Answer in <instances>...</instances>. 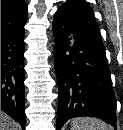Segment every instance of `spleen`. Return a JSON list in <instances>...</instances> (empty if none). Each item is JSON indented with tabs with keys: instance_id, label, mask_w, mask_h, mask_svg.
I'll use <instances>...</instances> for the list:
<instances>
[{
	"instance_id": "3e777b00",
	"label": "spleen",
	"mask_w": 123,
	"mask_h": 130,
	"mask_svg": "<svg viewBox=\"0 0 123 130\" xmlns=\"http://www.w3.org/2000/svg\"><path fill=\"white\" fill-rule=\"evenodd\" d=\"M71 130H110V126L97 118L78 117L72 120Z\"/></svg>"
}]
</instances>
